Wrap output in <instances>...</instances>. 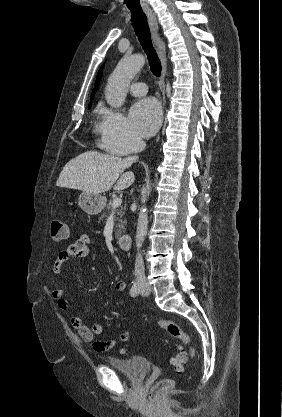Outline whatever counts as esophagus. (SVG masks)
Wrapping results in <instances>:
<instances>
[{
	"mask_svg": "<svg viewBox=\"0 0 282 417\" xmlns=\"http://www.w3.org/2000/svg\"><path fill=\"white\" fill-rule=\"evenodd\" d=\"M147 18H148V23H149V27L151 29V33H152V38H153V42L154 45L156 47L158 56L160 58V62H161V66H162V71H161V76L159 79V87L162 93V99H163V104H166V99H165V74H166V70H167V56H166V48H165V43L163 41V39L161 38V35L159 33V26H158V22H157V18L154 12H152V10H147L145 11Z\"/></svg>",
	"mask_w": 282,
	"mask_h": 417,
	"instance_id": "34e87169",
	"label": "esophagus"
}]
</instances>
